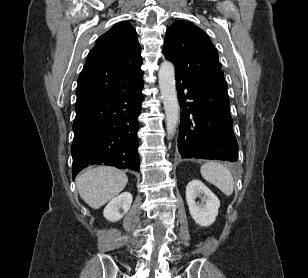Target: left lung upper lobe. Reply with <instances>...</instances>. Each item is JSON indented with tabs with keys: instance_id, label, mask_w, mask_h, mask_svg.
Wrapping results in <instances>:
<instances>
[{
	"instance_id": "5c2ea615",
	"label": "left lung upper lobe",
	"mask_w": 308,
	"mask_h": 278,
	"mask_svg": "<svg viewBox=\"0 0 308 278\" xmlns=\"http://www.w3.org/2000/svg\"><path fill=\"white\" fill-rule=\"evenodd\" d=\"M163 54L175 65V75L187 80L221 71L219 55L207 34L179 20L167 30Z\"/></svg>"
}]
</instances>
